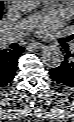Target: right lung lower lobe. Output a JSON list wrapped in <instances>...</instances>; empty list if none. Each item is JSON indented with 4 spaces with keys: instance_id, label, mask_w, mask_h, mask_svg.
Here are the masks:
<instances>
[{
    "instance_id": "right-lung-lower-lobe-1",
    "label": "right lung lower lobe",
    "mask_w": 74,
    "mask_h": 122,
    "mask_svg": "<svg viewBox=\"0 0 74 122\" xmlns=\"http://www.w3.org/2000/svg\"><path fill=\"white\" fill-rule=\"evenodd\" d=\"M24 47L14 50H0V88L10 83L15 75L18 58Z\"/></svg>"
}]
</instances>
